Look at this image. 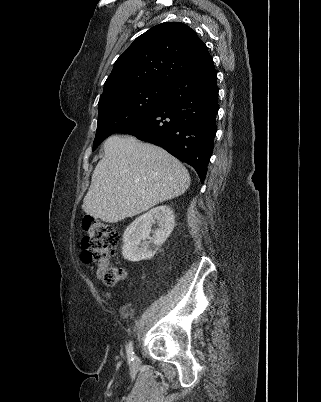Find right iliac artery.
Returning a JSON list of instances; mask_svg holds the SVG:
<instances>
[{"instance_id":"1","label":"right iliac artery","mask_w":321,"mask_h":402,"mask_svg":"<svg viewBox=\"0 0 321 402\" xmlns=\"http://www.w3.org/2000/svg\"><path fill=\"white\" fill-rule=\"evenodd\" d=\"M127 357L128 360H133L134 359V351H133V343L130 342L127 346Z\"/></svg>"}]
</instances>
